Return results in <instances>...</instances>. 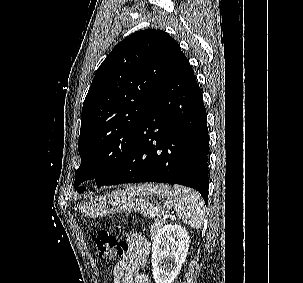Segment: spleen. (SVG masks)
<instances>
[{
	"label": "spleen",
	"instance_id": "3e777b00",
	"mask_svg": "<svg viewBox=\"0 0 303 283\" xmlns=\"http://www.w3.org/2000/svg\"><path fill=\"white\" fill-rule=\"evenodd\" d=\"M174 209L179 218L192 228L200 229L204 223L205 204L201 195L191 188L174 185Z\"/></svg>",
	"mask_w": 303,
	"mask_h": 283
}]
</instances>
